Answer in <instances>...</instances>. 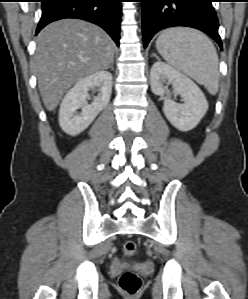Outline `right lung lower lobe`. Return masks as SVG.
Masks as SVG:
<instances>
[{
  "label": "right lung lower lobe",
  "mask_w": 248,
  "mask_h": 299,
  "mask_svg": "<svg viewBox=\"0 0 248 299\" xmlns=\"http://www.w3.org/2000/svg\"><path fill=\"white\" fill-rule=\"evenodd\" d=\"M122 0H42L36 34L51 22L77 18L102 27L119 45Z\"/></svg>",
  "instance_id": "obj_1"
}]
</instances>
